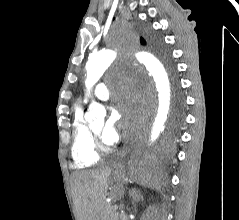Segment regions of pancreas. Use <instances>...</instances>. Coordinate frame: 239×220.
I'll list each match as a JSON object with an SVG mask.
<instances>
[{"instance_id":"pancreas-1","label":"pancreas","mask_w":239,"mask_h":220,"mask_svg":"<svg viewBox=\"0 0 239 220\" xmlns=\"http://www.w3.org/2000/svg\"><path fill=\"white\" fill-rule=\"evenodd\" d=\"M119 215L114 210V206L111 204H108L104 207L103 211V220H118Z\"/></svg>"}]
</instances>
